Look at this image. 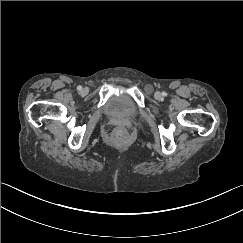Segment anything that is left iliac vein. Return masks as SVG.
I'll return each mask as SVG.
<instances>
[{"instance_id":"4c4485c4","label":"left iliac vein","mask_w":243,"mask_h":243,"mask_svg":"<svg viewBox=\"0 0 243 243\" xmlns=\"http://www.w3.org/2000/svg\"><path fill=\"white\" fill-rule=\"evenodd\" d=\"M154 97H155L156 99H160V98H161V93H160V92H156V93L154 94Z\"/></svg>"}]
</instances>
